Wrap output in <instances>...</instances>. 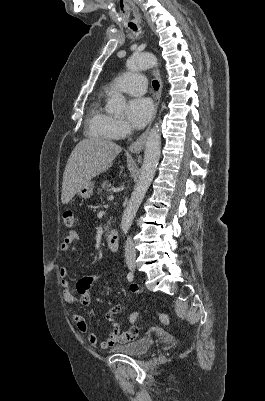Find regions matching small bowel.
Listing matches in <instances>:
<instances>
[{
  "mask_svg": "<svg viewBox=\"0 0 265 401\" xmlns=\"http://www.w3.org/2000/svg\"><path fill=\"white\" fill-rule=\"evenodd\" d=\"M81 240V236L76 231H70L61 243L60 251L76 252L77 247L74 245V243ZM59 274L61 277L64 301L71 310L72 319L76 324V328L80 333L86 335L87 341L91 345H99L101 349L106 350L117 344H124L131 341V339L127 336V331L122 332L118 324L114 321V316L122 311L121 304H114L106 312V318L109 322H111L112 330L110 331L108 337L101 342L98 341L96 334L89 330L85 318L74 310V306L78 303L85 307L90 306L91 286L94 282L103 277L105 275L104 273L83 277L76 283L74 287L71 286L67 279L68 271L65 267L60 268ZM130 291L133 295L140 294V288L136 285H132ZM76 294L80 296L79 300L76 298Z\"/></svg>",
  "mask_w": 265,
  "mask_h": 401,
  "instance_id": "small-bowel-1",
  "label": "small bowel"
}]
</instances>
